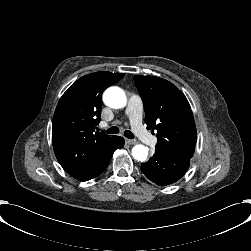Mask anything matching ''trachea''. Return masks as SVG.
<instances>
[{
	"label": "trachea",
	"instance_id": "trachea-1",
	"mask_svg": "<svg viewBox=\"0 0 251 251\" xmlns=\"http://www.w3.org/2000/svg\"><path fill=\"white\" fill-rule=\"evenodd\" d=\"M105 132L107 134H117V133H119V129L116 126H112L109 129H107ZM124 135H125V137H127L129 139H134L135 138V136L133 135V133L131 131H129V130H125L124 131Z\"/></svg>",
	"mask_w": 251,
	"mask_h": 251
}]
</instances>
